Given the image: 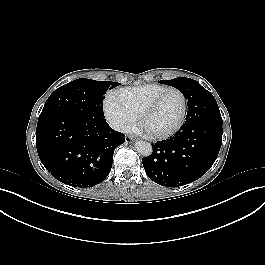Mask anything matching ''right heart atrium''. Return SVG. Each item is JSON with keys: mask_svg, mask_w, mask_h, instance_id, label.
Instances as JSON below:
<instances>
[{"mask_svg": "<svg viewBox=\"0 0 265 265\" xmlns=\"http://www.w3.org/2000/svg\"><path fill=\"white\" fill-rule=\"evenodd\" d=\"M105 119L117 131L127 132L135 127L137 116L126 105L118 91H109L103 100Z\"/></svg>", "mask_w": 265, "mask_h": 265, "instance_id": "d8ad5b80", "label": "right heart atrium"}]
</instances>
